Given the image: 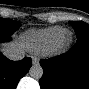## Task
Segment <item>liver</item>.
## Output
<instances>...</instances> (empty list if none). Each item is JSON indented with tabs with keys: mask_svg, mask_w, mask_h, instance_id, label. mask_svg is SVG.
<instances>
[{
	"mask_svg": "<svg viewBox=\"0 0 89 89\" xmlns=\"http://www.w3.org/2000/svg\"><path fill=\"white\" fill-rule=\"evenodd\" d=\"M11 47H15V44H3L2 46H1V50L4 52V53H6V50L7 49H9V48H11Z\"/></svg>",
	"mask_w": 89,
	"mask_h": 89,
	"instance_id": "obj_1",
	"label": "liver"
}]
</instances>
